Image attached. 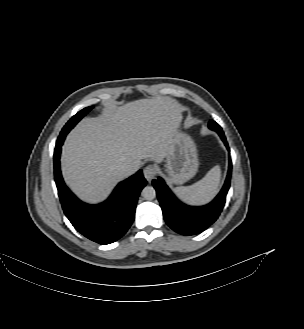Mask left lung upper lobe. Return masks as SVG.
<instances>
[{"label":"left lung upper lobe","mask_w":304,"mask_h":329,"mask_svg":"<svg viewBox=\"0 0 304 329\" xmlns=\"http://www.w3.org/2000/svg\"><path fill=\"white\" fill-rule=\"evenodd\" d=\"M213 123H214V121H213V120H210L209 125H210V124H213Z\"/></svg>","instance_id":"obj_1"}]
</instances>
